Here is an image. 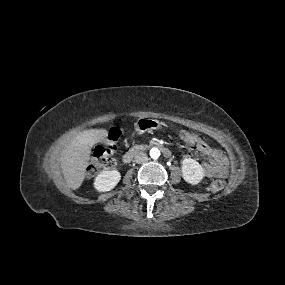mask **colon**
Wrapping results in <instances>:
<instances>
[{
  "mask_svg": "<svg viewBox=\"0 0 285 285\" xmlns=\"http://www.w3.org/2000/svg\"><path fill=\"white\" fill-rule=\"evenodd\" d=\"M182 140L189 146H196L199 142V138L191 131L184 130L181 132ZM118 140V133L112 132L108 136L105 143L99 144L93 153L92 159L87 169V176H92L96 172L110 168L114 165L113 150L115 148V143ZM225 186L224 180L217 178L213 180L210 184V189L213 192H218L222 190Z\"/></svg>",
  "mask_w": 285,
  "mask_h": 285,
  "instance_id": "1",
  "label": "colon"
}]
</instances>
